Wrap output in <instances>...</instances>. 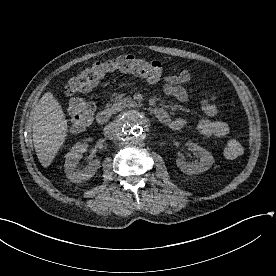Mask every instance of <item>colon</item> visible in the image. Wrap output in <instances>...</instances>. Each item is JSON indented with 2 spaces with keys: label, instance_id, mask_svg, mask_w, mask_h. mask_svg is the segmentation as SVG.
<instances>
[{
  "label": "colon",
  "instance_id": "1",
  "mask_svg": "<svg viewBox=\"0 0 276 276\" xmlns=\"http://www.w3.org/2000/svg\"><path fill=\"white\" fill-rule=\"evenodd\" d=\"M114 72L129 73L151 82L160 81L165 74V67L158 61L147 60L133 55H121L113 59L97 61L73 77L66 86V93L71 97L68 105L70 126L73 130H82L93 121L94 105L90 101L76 97L89 92L104 77ZM204 102L213 104V98L206 96ZM244 151L240 139H229L224 147V155L233 159Z\"/></svg>",
  "mask_w": 276,
  "mask_h": 276
}]
</instances>
